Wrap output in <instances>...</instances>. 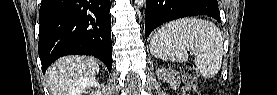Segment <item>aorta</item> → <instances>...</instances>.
Returning <instances> with one entry per match:
<instances>
[{
	"mask_svg": "<svg viewBox=\"0 0 277 95\" xmlns=\"http://www.w3.org/2000/svg\"><path fill=\"white\" fill-rule=\"evenodd\" d=\"M135 3L138 7H143L146 3V0H135Z\"/></svg>",
	"mask_w": 277,
	"mask_h": 95,
	"instance_id": "762f6f07",
	"label": "aorta"
}]
</instances>
